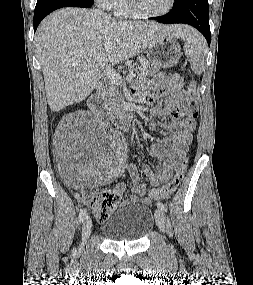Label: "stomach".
<instances>
[{"label":"stomach","mask_w":253,"mask_h":285,"mask_svg":"<svg viewBox=\"0 0 253 285\" xmlns=\"http://www.w3.org/2000/svg\"><path fill=\"white\" fill-rule=\"evenodd\" d=\"M144 52L151 65L162 68L175 66L182 56L179 43L171 36H161L152 40Z\"/></svg>","instance_id":"stomach-1"}]
</instances>
